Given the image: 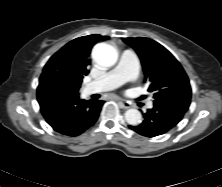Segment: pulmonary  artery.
I'll use <instances>...</instances> for the list:
<instances>
[{"label": "pulmonary artery", "instance_id": "obj_1", "mask_svg": "<svg viewBox=\"0 0 222 187\" xmlns=\"http://www.w3.org/2000/svg\"><path fill=\"white\" fill-rule=\"evenodd\" d=\"M138 73V62L136 55L131 50H124L120 55L118 65L103 77L86 84L82 92L84 95L100 93L113 90L126 81L134 80ZM152 101L147 106L152 107Z\"/></svg>", "mask_w": 222, "mask_h": 187}]
</instances>
